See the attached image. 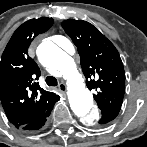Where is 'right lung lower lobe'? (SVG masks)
I'll return each instance as SVG.
<instances>
[{
  "label": "right lung lower lobe",
  "instance_id": "98d812e1",
  "mask_svg": "<svg viewBox=\"0 0 147 147\" xmlns=\"http://www.w3.org/2000/svg\"><path fill=\"white\" fill-rule=\"evenodd\" d=\"M60 99V97H59ZM54 106V105H53ZM53 106L49 108L44 114H42L40 117L36 118L35 120L29 122L28 124L20 127L23 130H28V131H34L42 128L46 122V118L50 115Z\"/></svg>",
  "mask_w": 147,
  "mask_h": 147
}]
</instances>
